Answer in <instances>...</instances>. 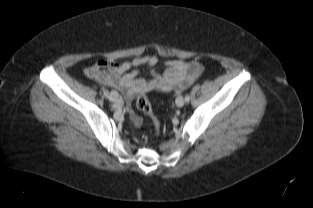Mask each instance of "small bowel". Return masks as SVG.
<instances>
[{
    "label": "small bowel",
    "mask_w": 313,
    "mask_h": 208,
    "mask_svg": "<svg viewBox=\"0 0 313 208\" xmlns=\"http://www.w3.org/2000/svg\"><path fill=\"white\" fill-rule=\"evenodd\" d=\"M158 62V58L153 55L136 57L120 64L101 59L88 67L84 73L86 77L94 79L103 86L119 90L126 98L131 99L138 93L154 88L163 91L183 90L203 71L202 65L196 61L169 60L164 63V73L159 74L155 70ZM143 66L152 70L153 79L148 82L137 78L139 68ZM133 119L137 124L141 123L136 115H133Z\"/></svg>",
    "instance_id": "obj_1"
}]
</instances>
